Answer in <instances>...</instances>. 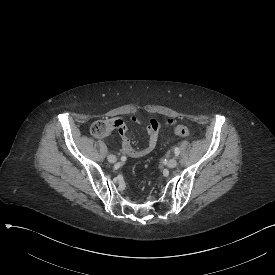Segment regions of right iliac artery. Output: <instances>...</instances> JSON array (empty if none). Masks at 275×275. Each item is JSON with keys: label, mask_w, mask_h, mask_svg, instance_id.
<instances>
[{"label": "right iliac artery", "mask_w": 275, "mask_h": 275, "mask_svg": "<svg viewBox=\"0 0 275 275\" xmlns=\"http://www.w3.org/2000/svg\"><path fill=\"white\" fill-rule=\"evenodd\" d=\"M121 160H122V161H126V157H124V156L121 157Z\"/></svg>", "instance_id": "obj_1"}]
</instances>
